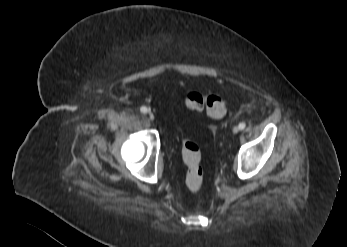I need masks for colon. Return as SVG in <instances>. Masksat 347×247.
<instances>
[{
  "instance_id": "obj_1",
  "label": "colon",
  "mask_w": 347,
  "mask_h": 247,
  "mask_svg": "<svg viewBox=\"0 0 347 247\" xmlns=\"http://www.w3.org/2000/svg\"><path fill=\"white\" fill-rule=\"evenodd\" d=\"M185 104L192 110L205 109L208 115L213 118H221L227 109L226 101L217 94L202 95L197 92H190L185 98ZM182 158L187 167L186 187L190 192L197 193L202 187L204 173L201 164V151L198 145L189 138L182 140Z\"/></svg>"
}]
</instances>
